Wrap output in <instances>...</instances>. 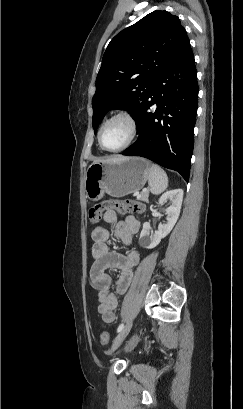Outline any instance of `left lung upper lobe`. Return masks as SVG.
Listing matches in <instances>:
<instances>
[{
  "label": "left lung upper lobe",
  "mask_w": 243,
  "mask_h": 409,
  "mask_svg": "<svg viewBox=\"0 0 243 409\" xmlns=\"http://www.w3.org/2000/svg\"><path fill=\"white\" fill-rule=\"evenodd\" d=\"M188 39L179 18L156 10L118 33L104 53L92 99L94 131L109 109L136 120L152 85Z\"/></svg>",
  "instance_id": "obj_1"
}]
</instances>
